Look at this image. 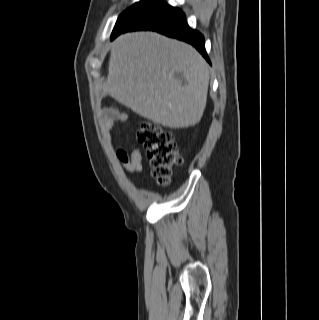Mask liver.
Wrapping results in <instances>:
<instances>
[{
  "instance_id": "liver-1",
  "label": "liver",
  "mask_w": 319,
  "mask_h": 320,
  "mask_svg": "<svg viewBox=\"0 0 319 320\" xmlns=\"http://www.w3.org/2000/svg\"><path fill=\"white\" fill-rule=\"evenodd\" d=\"M176 73L185 77L186 85ZM208 85V65L192 46L147 31L126 33L114 41L102 88L136 114L179 129L201 120Z\"/></svg>"
}]
</instances>
